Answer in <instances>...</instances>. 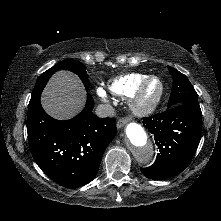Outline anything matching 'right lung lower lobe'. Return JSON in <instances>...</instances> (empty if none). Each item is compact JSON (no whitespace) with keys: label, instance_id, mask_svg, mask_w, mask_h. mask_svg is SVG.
<instances>
[{"label":"right lung lower lobe","instance_id":"obj_1","mask_svg":"<svg viewBox=\"0 0 221 221\" xmlns=\"http://www.w3.org/2000/svg\"><path fill=\"white\" fill-rule=\"evenodd\" d=\"M93 98L76 117L60 121L42 108L40 96L28 106V142L35 162L53 181L68 188L91 182L103 153L116 135L112 118L92 113Z\"/></svg>","mask_w":221,"mask_h":221}]
</instances>
